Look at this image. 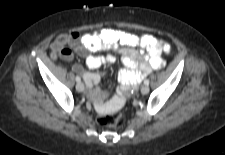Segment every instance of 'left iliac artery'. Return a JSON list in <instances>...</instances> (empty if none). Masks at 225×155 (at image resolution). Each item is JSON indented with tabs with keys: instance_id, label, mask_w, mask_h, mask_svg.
Returning <instances> with one entry per match:
<instances>
[{
	"instance_id": "left-iliac-artery-1",
	"label": "left iliac artery",
	"mask_w": 225,
	"mask_h": 155,
	"mask_svg": "<svg viewBox=\"0 0 225 155\" xmlns=\"http://www.w3.org/2000/svg\"><path fill=\"white\" fill-rule=\"evenodd\" d=\"M144 84H145V85H149V80L146 79V80L144 81Z\"/></svg>"
}]
</instances>
